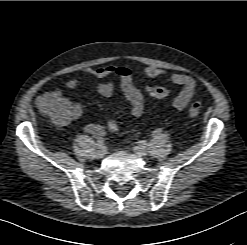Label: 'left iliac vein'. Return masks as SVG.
<instances>
[{"instance_id":"obj_1","label":"left iliac vein","mask_w":247,"mask_h":245,"mask_svg":"<svg viewBox=\"0 0 247 245\" xmlns=\"http://www.w3.org/2000/svg\"><path fill=\"white\" fill-rule=\"evenodd\" d=\"M133 151L140 156H146L148 154L147 148L143 145L135 146Z\"/></svg>"}]
</instances>
